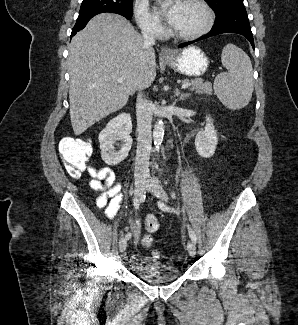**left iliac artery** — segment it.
Listing matches in <instances>:
<instances>
[{"label":"left iliac artery","mask_w":298,"mask_h":325,"mask_svg":"<svg viewBox=\"0 0 298 325\" xmlns=\"http://www.w3.org/2000/svg\"><path fill=\"white\" fill-rule=\"evenodd\" d=\"M158 206H159V208H160L161 210H163V211L174 212V213H176V214H179V211H178V210H176V209H174V208H171V207L167 206V205H166L165 203H163V202H158ZM188 231H189V236H190L191 240H192L194 243H196V235H195L194 231L192 230V228H191V227H188Z\"/></svg>","instance_id":"left-iliac-artery-1"}]
</instances>
